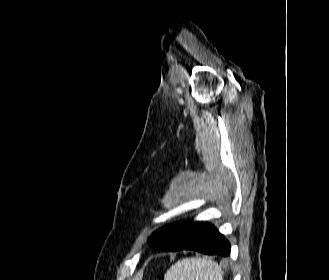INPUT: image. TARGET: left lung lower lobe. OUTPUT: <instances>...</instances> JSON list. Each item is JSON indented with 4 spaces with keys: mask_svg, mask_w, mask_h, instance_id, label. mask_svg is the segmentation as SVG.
Wrapping results in <instances>:
<instances>
[{
    "mask_svg": "<svg viewBox=\"0 0 329 280\" xmlns=\"http://www.w3.org/2000/svg\"><path fill=\"white\" fill-rule=\"evenodd\" d=\"M162 232L168 241L161 250L186 249L222 256L230 254L229 242L209 223H174L162 228Z\"/></svg>",
    "mask_w": 329,
    "mask_h": 280,
    "instance_id": "obj_1",
    "label": "left lung lower lobe"
}]
</instances>
